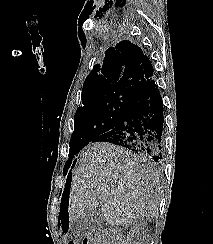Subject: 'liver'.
<instances>
[{"label":"liver","instance_id":"1","mask_svg":"<svg viewBox=\"0 0 213 244\" xmlns=\"http://www.w3.org/2000/svg\"><path fill=\"white\" fill-rule=\"evenodd\" d=\"M161 199L159 176L131 151L109 143H95L78 160L72 178L68 216L74 222L99 210L108 225L151 220Z\"/></svg>","mask_w":213,"mask_h":244}]
</instances>
